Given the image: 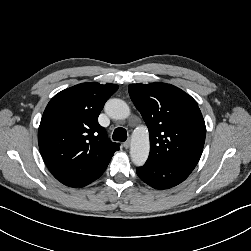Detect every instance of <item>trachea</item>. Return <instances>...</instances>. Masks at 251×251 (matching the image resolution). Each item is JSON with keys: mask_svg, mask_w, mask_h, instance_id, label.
Listing matches in <instances>:
<instances>
[{"mask_svg": "<svg viewBox=\"0 0 251 251\" xmlns=\"http://www.w3.org/2000/svg\"><path fill=\"white\" fill-rule=\"evenodd\" d=\"M112 138L114 141L124 142L127 139V132L124 128L118 127L114 130Z\"/></svg>", "mask_w": 251, "mask_h": 251, "instance_id": "3493384b", "label": "trachea"}]
</instances>
